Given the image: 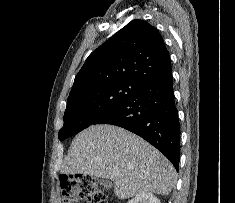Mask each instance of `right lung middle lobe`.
<instances>
[{"mask_svg":"<svg viewBox=\"0 0 235 203\" xmlns=\"http://www.w3.org/2000/svg\"><path fill=\"white\" fill-rule=\"evenodd\" d=\"M140 85L134 81L112 80L71 92L64 113V125L59 131V140L71 137L94 124L128 99Z\"/></svg>","mask_w":235,"mask_h":203,"instance_id":"1","label":"right lung middle lobe"}]
</instances>
